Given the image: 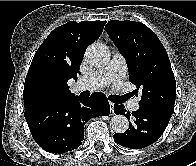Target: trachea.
<instances>
[{
	"instance_id": "obj_1",
	"label": "trachea",
	"mask_w": 196,
	"mask_h": 166,
	"mask_svg": "<svg viewBox=\"0 0 196 166\" xmlns=\"http://www.w3.org/2000/svg\"><path fill=\"white\" fill-rule=\"evenodd\" d=\"M125 99L126 98L124 96H116V95L109 96V100L114 103H122L123 101H125Z\"/></svg>"
}]
</instances>
